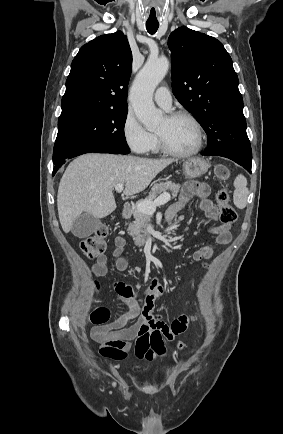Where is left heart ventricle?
Masks as SVG:
<instances>
[{
    "label": "left heart ventricle",
    "instance_id": "b2bd125f",
    "mask_svg": "<svg viewBox=\"0 0 283 434\" xmlns=\"http://www.w3.org/2000/svg\"><path fill=\"white\" fill-rule=\"evenodd\" d=\"M156 132L162 135L169 147L176 151H189L196 144L195 129L191 122L184 118L169 120L164 117Z\"/></svg>",
    "mask_w": 283,
    "mask_h": 434
}]
</instances>
